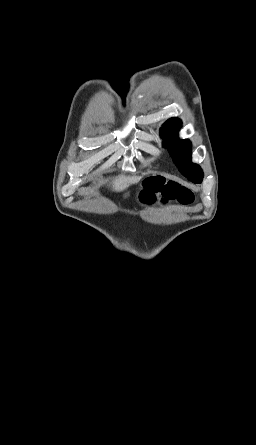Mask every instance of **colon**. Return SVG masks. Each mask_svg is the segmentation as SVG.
<instances>
[{
  "mask_svg": "<svg viewBox=\"0 0 256 445\" xmlns=\"http://www.w3.org/2000/svg\"><path fill=\"white\" fill-rule=\"evenodd\" d=\"M193 199L191 190L180 186L176 182H166L160 178H149L140 193V201L143 205H153L155 203L167 205L171 202L189 205L193 202Z\"/></svg>",
  "mask_w": 256,
  "mask_h": 445,
  "instance_id": "1",
  "label": "colon"
}]
</instances>
